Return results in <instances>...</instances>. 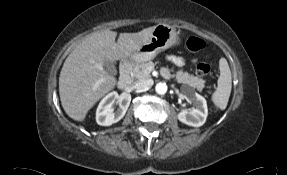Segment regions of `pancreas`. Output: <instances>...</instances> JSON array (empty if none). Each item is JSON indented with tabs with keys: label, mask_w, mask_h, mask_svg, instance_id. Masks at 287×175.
Wrapping results in <instances>:
<instances>
[{
	"label": "pancreas",
	"mask_w": 287,
	"mask_h": 175,
	"mask_svg": "<svg viewBox=\"0 0 287 175\" xmlns=\"http://www.w3.org/2000/svg\"><path fill=\"white\" fill-rule=\"evenodd\" d=\"M152 66H154V63L152 61L137 64L132 69L133 77L136 79L149 78L150 71L148 70V68ZM173 77H175V80L178 83L187 84L192 88H196L198 91H201L205 87V80L197 76L190 75L188 72L178 71L175 74H173Z\"/></svg>",
	"instance_id": "1"
}]
</instances>
